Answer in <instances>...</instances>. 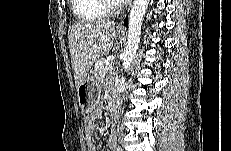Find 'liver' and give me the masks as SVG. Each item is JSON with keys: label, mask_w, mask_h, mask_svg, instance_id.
I'll use <instances>...</instances> for the list:
<instances>
[{"label": "liver", "mask_w": 231, "mask_h": 151, "mask_svg": "<svg viewBox=\"0 0 231 151\" xmlns=\"http://www.w3.org/2000/svg\"><path fill=\"white\" fill-rule=\"evenodd\" d=\"M114 38V24L110 21H83L69 28V49L76 89L87 77L94 62L110 51Z\"/></svg>", "instance_id": "1"}]
</instances>
